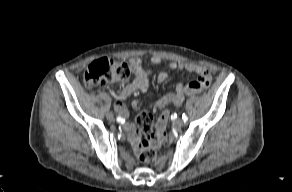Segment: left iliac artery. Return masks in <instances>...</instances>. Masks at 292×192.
I'll list each match as a JSON object with an SVG mask.
<instances>
[{
    "mask_svg": "<svg viewBox=\"0 0 292 192\" xmlns=\"http://www.w3.org/2000/svg\"><path fill=\"white\" fill-rule=\"evenodd\" d=\"M182 119H183L184 122H186V121L188 120L187 115H186V114H183V115H182Z\"/></svg>",
    "mask_w": 292,
    "mask_h": 192,
    "instance_id": "44dca946",
    "label": "left iliac artery"
}]
</instances>
